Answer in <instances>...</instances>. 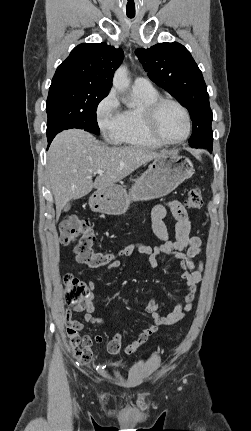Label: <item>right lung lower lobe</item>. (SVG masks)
<instances>
[{
	"label": "right lung lower lobe",
	"instance_id": "98d812e1",
	"mask_svg": "<svg viewBox=\"0 0 251 431\" xmlns=\"http://www.w3.org/2000/svg\"><path fill=\"white\" fill-rule=\"evenodd\" d=\"M56 134L54 135H47V139H48V147L50 145V143L52 142L53 138L55 137Z\"/></svg>",
	"mask_w": 251,
	"mask_h": 431
}]
</instances>
